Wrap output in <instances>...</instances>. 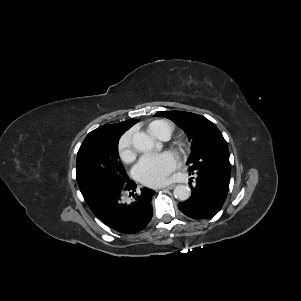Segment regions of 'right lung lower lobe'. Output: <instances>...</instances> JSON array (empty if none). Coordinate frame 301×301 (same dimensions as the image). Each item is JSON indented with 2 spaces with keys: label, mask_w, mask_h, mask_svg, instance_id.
Returning a JSON list of instances; mask_svg holds the SVG:
<instances>
[{
  "label": "right lung lower lobe",
  "mask_w": 301,
  "mask_h": 301,
  "mask_svg": "<svg viewBox=\"0 0 301 301\" xmlns=\"http://www.w3.org/2000/svg\"><path fill=\"white\" fill-rule=\"evenodd\" d=\"M136 188L133 181L105 188L91 209L95 216L108 227L124 234H135L145 228L152 217L151 199L154 191L142 188L133 202L126 203L122 198L125 190ZM135 191V190H133Z\"/></svg>",
  "instance_id": "obj_1"
}]
</instances>
